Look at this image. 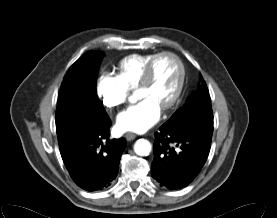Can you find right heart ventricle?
Masks as SVG:
<instances>
[{
	"label": "right heart ventricle",
	"instance_id": "1",
	"mask_svg": "<svg viewBox=\"0 0 277 218\" xmlns=\"http://www.w3.org/2000/svg\"><path fill=\"white\" fill-rule=\"evenodd\" d=\"M155 55V53L133 54L124 58L119 63V75L122 80L130 88H136L144 75L148 63Z\"/></svg>",
	"mask_w": 277,
	"mask_h": 218
}]
</instances>
